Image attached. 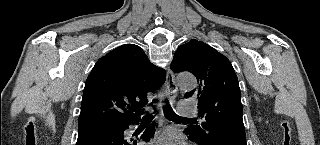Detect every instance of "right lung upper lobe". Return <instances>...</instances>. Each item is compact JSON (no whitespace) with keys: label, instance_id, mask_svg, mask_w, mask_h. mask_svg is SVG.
<instances>
[{"label":"right lung upper lobe","instance_id":"1","mask_svg":"<svg viewBox=\"0 0 320 145\" xmlns=\"http://www.w3.org/2000/svg\"><path fill=\"white\" fill-rule=\"evenodd\" d=\"M165 77V70L153 65L135 44L110 51L86 80L78 130L137 122L148 104L147 93L161 86Z\"/></svg>","mask_w":320,"mask_h":145}]
</instances>
